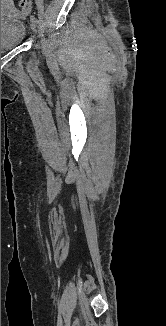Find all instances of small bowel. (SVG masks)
Instances as JSON below:
<instances>
[{
	"label": "small bowel",
	"instance_id": "small-bowel-1",
	"mask_svg": "<svg viewBox=\"0 0 166 326\" xmlns=\"http://www.w3.org/2000/svg\"><path fill=\"white\" fill-rule=\"evenodd\" d=\"M1 3L3 4H7V5H11V0H1Z\"/></svg>",
	"mask_w": 166,
	"mask_h": 326
}]
</instances>
